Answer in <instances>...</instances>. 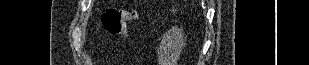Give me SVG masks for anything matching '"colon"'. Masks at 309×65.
Instances as JSON below:
<instances>
[{
    "label": "colon",
    "instance_id": "colon-1",
    "mask_svg": "<svg viewBox=\"0 0 309 65\" xmlns=\"http://www.w3.org/2000/svg\"><path fill=\"white\" fill-rule=\"evenodd\" d=\"M135 15L133 10L111 8L102 14L101 24L111 35H120L125 32L127 24Z\"/></svg>",
    "mask_w": 309,
    "mask_h": 65
}]
</instances>
